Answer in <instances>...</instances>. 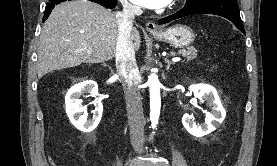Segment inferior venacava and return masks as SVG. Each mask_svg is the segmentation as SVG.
Here are the masks:
<instances>
[{
	"label": "inferior vena cava",
	"mask_w": 277,
	"mask_h": 166,
	"mask_svg": "<svg viewBox=\"0 0 277 166\" xmlns=\"http://www.w3.org/2000/svg\"><path fill=\"white\" fill-rule=\"evenodd\" d=\"M122 12L116 14L118 22V39L116 45V66L123 77V88L126 100L131 144L135 152H142L145 118L143 115L142 99L138 88L139 70L136 64L135 52L131 41V29L135 15L141 9L120 0Z\"/></svg>",
	"instance_id": "obj_1"
}]
</instances>
